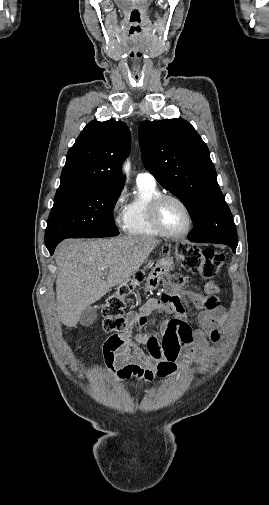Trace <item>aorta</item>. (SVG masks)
<instances>
[{
    "mask_svg": "<svg viewBox=\"0 0 269 505\" xmlns=\"http://www.w3.org/2000/svg\"><path fill=\"white\" fill-rule=\"evenodd\" d=\"M124 171L126 173H128V171H129V164L128 163L124 165Z\"/></svg>",
    "mask_w": 269,
    "mask_h": 505,
    "instance_id": "obj_1",
    "label": "aorta"
}]
</instances>
